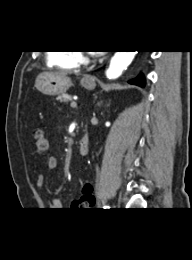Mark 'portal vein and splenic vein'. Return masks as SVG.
<instances>
[{"instance_id":"obj_1","label":"portal vein and splenic vein","mask_w":192,"mask_h":260,"mask_svg":"<svg viewBox=\"0 0 192 260\" xmlns=\"http://www.w3.org/2000/svg\"><path fill=\"white\" fill-rule=\"evenodd\" d=\"M70 106H71L72 108H76V107H77V103H76L75 101H72V102L70 103Z\"/></svg>"}]
</instances>
